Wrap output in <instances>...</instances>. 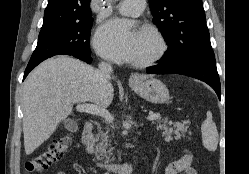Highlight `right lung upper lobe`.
<instances>
[{"mask_svg": "<svg viewBox=\"0 0 249 174\" xmlns=\"http://www.w3.org/2000/svg\"><path fill=\"white\" fill-rule=\"evenodd\" d=\"M91 0H48L42 28L92 17Z\"/></svg>", "mask_w": 249, "mask_h": 174, "instance_id": "obj_1", "label": "right lung upper lobe"}]
</instances>
